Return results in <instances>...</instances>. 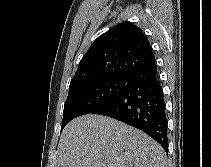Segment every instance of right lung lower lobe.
I'll list each match as a JSON object with an SVG mask.
<instances>
[{"mask_svg":"<svg viewBox=\"0 0 211 167\" xmlns=\"http://www.w3.org/2000/svg\"><path fill=\"white\" fill-rule=\"evenodd\" d=\"M129 86L94 114L105 115L138 128L156 140L167 152V119L157 65L127 76Z\"/></svg>","mask_w":211,"mask_h":167,"instance_id":"1","label":"right lung lower lobe"}]
</instances>
